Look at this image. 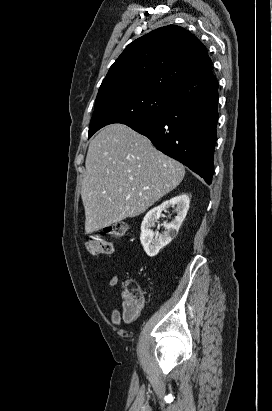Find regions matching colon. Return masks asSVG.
<instances>
[{
	"mask_svg": "<svg viewBox=\"0 0 272 411\" xmlns=\"http://www.w3.org/2000/svg\"><path fill=\"white\" fill-rule=\"evenodd\" d=\"M127 224L123 221L106 225L100 231L93 233L85 242L87 251L91 254H111L113 243L111 238L125 234ZM122 315L126 321L135 320L142 307L143 296L141 287L133 281H125L122 286Z\"/></svg>",
	"mask_w": 272,
	"mask_h": 411,
	"instance_id": "obj_1",
	"label": "colon"
}]
</instances>
